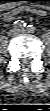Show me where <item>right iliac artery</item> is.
<instances>
[{"instance_id":"right-iliac-artery-1","label":"right iliac artery","mask_w":50,"mask_h":111,"mask_svg":"<svg viewBox=\"0 0 50 111\" xmlns=\"http://www.w3.org/2000/svg\"><path fill=\"white\" fill-rule=\"evenodd\" d=\"M13 25L17 29H23L26 27V23L24 21H21V20L15 21Z\"/></svg>"}]
</instances>
